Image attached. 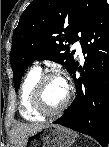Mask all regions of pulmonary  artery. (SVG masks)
<instances>
[{
  "label": "pulmonary artery",
  "mask_w": 109,
  "mask_h": 147,
  "mask_svg": "<svg viewBox=\"0 0 109 147\" xmlns=\"http://www.w3.org/2000/svg\"><path fill=\"white\" fill-rule=\"evenodd\" d=\"M75 48H76L78 54H79L80 56H83L81 44H80L79 41L75 43ZM35 68H36V69H39V70L41 69V66H40V63H39V62H36V63H35Z\"/></svg>",
  "instance_id": "1"
}]
</instances>
